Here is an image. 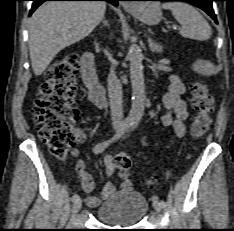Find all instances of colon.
<instances>
[{
    "instance_id": "obj_1",
    "label": "colon",
    "mask_w": 234,
    "mask_h": 231,
    "mask_svg": "<svg viewBox=\"0 0 234 231\" xmlns=\"http://www.w3.org/2000/svg\"><path fill=\"white\" fill-rule=\"evenodd\" d=\"M79 66L80 56L76 52L66 54L50 66L33 108L39 136L59 158L64 157L75 142L72 127L80 116L75 102ZM190 89L196 112L191 123V135L199 138L209 130L214 102L205 83L196 81ZM114 162L121 177H128L132 167L130 156L125 152L118 153Z\"/></svg>"
}]
</instances>
